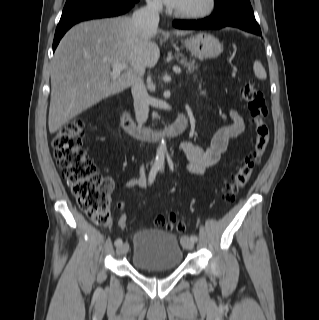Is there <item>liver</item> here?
Segmentation results:
<instances>
[{"instance_id":"obj_1","label":"liver","mask_w":319,"mask_h":320,"mask_svg":"<svg viewBox=\"0 0 319 320\" xmlns=\"http://www.w3.org/2000/svg\"><path fill=\"white\" fill-rule=\"evenodd\" d=\"M189 31H175L176 35ZM153 32L138 31L131 17L80 23L60 41L52 61L48 125L51 134L102 99L130 87L136 74L154 67L160 49ZM114 63L129 64L112 77Z\"/></svg>"}]
</instances>
